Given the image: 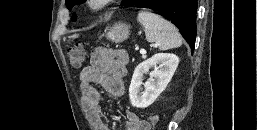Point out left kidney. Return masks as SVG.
<instances>
[{
  "label": "left kidney",
  "mask_w": 257,
  "mask_h": 130,
  "mask_svg": "<svg viewBox=\"0 0 257 130\" xmlns=\"http://www.w3.org/2000/svg\"><path fill=\"white\" fill-rule=\"evenodd\" d=\"M179 58L175 54L159 53L140 63L134 70L129 87V97L132 106L136 108H146L151 105L157 97L165 90L176 68ZM157 65H159L157 67ZM150 72V78L143 83V75ZM144 85V91H142Z\"/></svg>",
  "instance_id": "1"
}]
</instances>
